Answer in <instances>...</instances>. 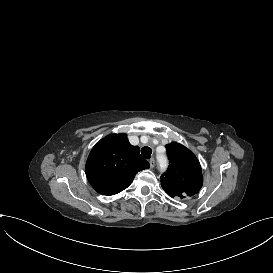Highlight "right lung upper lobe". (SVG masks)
Masks as SVG:
<instances>
[{"mask_svg":"<svg viewBox=\"0 0 273 273\" xmlns=\"http://www.w3.org/2000/svg\"><path fill=\"white\" fill-rule=\"evenodd\" d=\"M149 163L132 146L126 134L104 137L92 148L86 162V176L100 194L114 195L126 189L135 175L149 168Z\"/></svg>","mask_w":273,"mask_h":273,"instance_id":"right-lung-upper-lobe-1","label":"right lung upper lobe"}]
</instances>
